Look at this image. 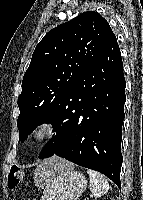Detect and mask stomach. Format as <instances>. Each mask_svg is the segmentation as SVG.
Here are the masks:
<instances>
[{
	"label": "stomach",
	"mask_w": 143,
	"mask_h": 200,
	"mask_svg": "<svg viewBox=\"0 0 143 200\" xmlns=\"http://www.w3.org/2000/svg\"><path fill=\"white\" fill-rule=\"evenodd\" d=\"M86 187L87 180L83 173L65 167L49 178L41 200H77Z\"/></svg>",
	"instance_id": "1"
}]
</instances>
